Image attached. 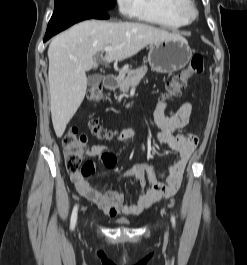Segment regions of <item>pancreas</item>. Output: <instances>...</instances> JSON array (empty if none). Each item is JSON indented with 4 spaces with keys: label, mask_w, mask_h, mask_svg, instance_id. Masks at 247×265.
I'll use <instances>...</instances> for the list:
<instances>
[{
    "label": "pancreas",
    "mask_w": 247,
    "mask_h": 265,
    "mask_svg": "<svg viewBox=\"0 0 247 265\" xmlns=\"http://www.w3.org/2000/svg\"><path fill=\"white\" fill-rule=\"evenodd\" d=\"M147 66L143 65L135 70H127L125 72H120L118 76V87L121 92H128L130 87L139 83L141 79L147 73ZM127 73V75H126Z\"/></svg>",
    "instance_id": "pancreas-1"
}]
</instances>
